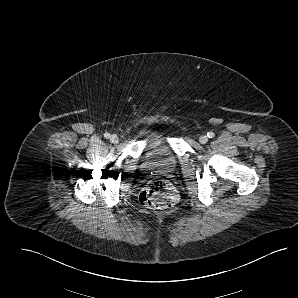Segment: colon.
<instances>
[{
	"label": "colon",
	"instance_id": "5ec220e1",
	"mask_svg": "<svg viewBox=\"0 0 298 298\" xmlns=\"http://www.w3.org/2000/svg\"><path fill=\"white\" fill-rule=\"evenodd\" d=\"M141 204L149 209L164 210L172 207L177 199L173 185L166 179L149 181L139 196Z\"/></svg>",
	"mask_w": 298,
	"mask_h": 298
}]
</instances>
